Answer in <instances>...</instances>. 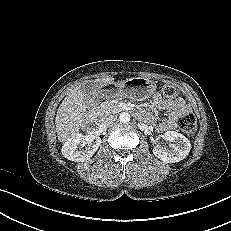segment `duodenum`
Returning a JSON list of instances; mask_svg holds the SVG:
<instances>
[{"instance_id": "1", "label": "duodenum", "mask_w": 231, "mask_h": 231, "mask_svg": "<svg viewBox=\"0 0 231 231\" xmlns=\"http://www.w3.org/2000/svg\"><path fill=\"white\" fill-rule=\"evenodd\" d=\"M96 103H97V99L93 98L90 103V111H89V118L91 120H95L97 117Z\"/></svg>"}]
</instances>
